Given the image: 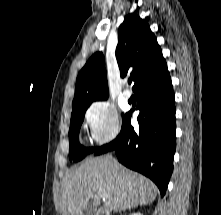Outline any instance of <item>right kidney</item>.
<instances>
[{
    "mask_svg": "<svg viewBox=\"0 0 221 215\" xmlns=\"http://www.w3.org/2000/svg\"><path fill=\"white\" fill-rule=\"evenodd\" d=\"M130 215H143V214H141V213H132V214H130Z\"/></svg>",
    "mask_w": 221,
    "mask_h": 215,
    "instance_id": "obj_1",
    "label": "right kidney"
}]
</instances>
